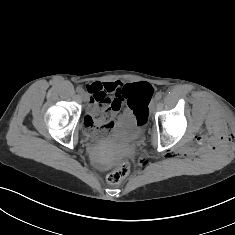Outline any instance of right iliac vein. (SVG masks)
Returning <instances> with one entry per match:
<instances>
[{"mask_svg": "<svg viewBox=\"0 0 235 235\" xmlns=\"http://www.w3.org/2000/svg\"><path fill=\"white\" fill-rule=\"evenodd\" d=\"M81 97H82V100H83L84 102H86V101L88 100V95H87L86 92H82V93H81Z\"/></svg>", "mask_w": 235, "mask_h": 235, "instance_id": "1", "label": "right iliac vein"}]
</instances>
